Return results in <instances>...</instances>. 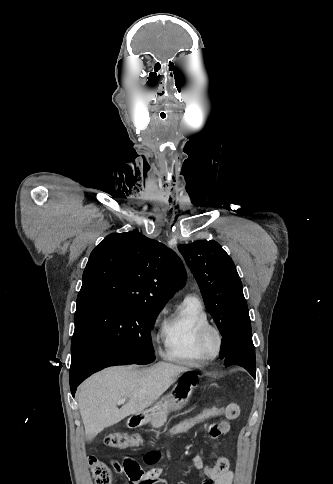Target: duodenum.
<instances>
[{
  "label": "duodenum",
  "mask_w": 333,
  "mask_h": 484,
  "mask_svg": "<svg viewBox=\"0 0 333 484\" xmlns=\"http://www.w3.org/2000/svg\"><path fill=\"white\" fill-rule=\"evenodd\" d=\"M140 422V419L139 418H133L131 421H130V426L131 427H136Z\"/></svg>",
  "instance_id": "duodenum-1"
}]
</instances>
